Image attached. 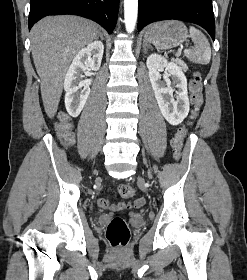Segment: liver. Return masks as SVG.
Here are the masks:
<instances>
[{
  "instance_id": "6515ba94",
  "label": "liver",
  "mask_w": 247,
  "mask_h": 280,
  "mask_svg": "<svg viewBox=\"0 0 247 280\" xmlns=\"http://www.w3.org/2000/svg\"><path fill=\"white\" fill-rule=\"evenodd\" d=\"M98 36L94 22L70 15L48 16L32 27V56L41 79V96L48 117L53 118L57 112L70 62Z\"/></svg>"
}]
</instances>
